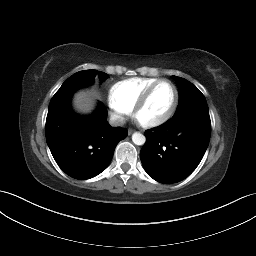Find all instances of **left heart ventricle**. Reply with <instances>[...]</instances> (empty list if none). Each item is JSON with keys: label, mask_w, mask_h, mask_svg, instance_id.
I'll list each match as a JSON object with an SVG mask.
<instances>
[{"label": "left heart ventricle", "mask_w": 256, "mask_h": 256, "mask_svg": "<svg viewBox=\"0 0 256 256\" xmlns=\"http://www.w3.org/2000/svg\"><path fill=\"white\" fill-rule=\"evenodd\" d=\"M174 91L170 84H160L152 93L145 107L141 110L139 118L148 121L161 117L170 108Z\"/></svg>", "instance_id": "b2bd125f"}]
</instances>
